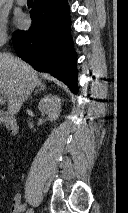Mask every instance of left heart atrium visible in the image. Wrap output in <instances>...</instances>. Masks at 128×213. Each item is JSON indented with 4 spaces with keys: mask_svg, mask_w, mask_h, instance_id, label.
Segmentation results:
<instances>
[{
    "mask_svg": "<svg viewBox=\"0 0 128 213\" xmlns=\"http://www.w3.org/2000/svg\"><path fill=\"white\" fill-rule=\"evenodd\" d=\"M17 24L20 27H24L26 25V19L23 16L18 17Z\"/></svg>",
    "mask_w": 128,
    "mask_h": 213,
    "instance_id": "39dd6f15",
    "label": "left heart atrium"
}]
</instances>
